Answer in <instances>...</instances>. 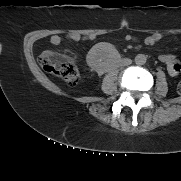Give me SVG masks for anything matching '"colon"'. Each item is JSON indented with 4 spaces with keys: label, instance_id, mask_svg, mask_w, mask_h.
I'll use <instances>...</instances> for the list:
<instances>
[{
    "label": "colon",
    "instance_id": "colon-1",
    "mask_svg": "<svg viewBox=\"0 0 181 181\" xmlns=\"http://www.w3.org/2000/svg\"><path fill=\"white\" fill-rule=\"evenodd\" d=\"M39 62L47 73L60 77L70 85L76 84L79 80V71L75 63L59 53L45 51L40 55ZM178 91L181 94V81Z\"/></svg>",
    "mask_w": 181,
    "mask_h": 181
}]
</instances>
